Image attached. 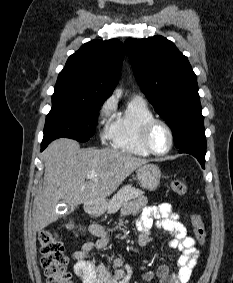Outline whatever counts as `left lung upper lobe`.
Listing matches in <instances>:
<instances>
[{"instance_id":"obj_1","label":"left lung upper lobe","mask_w":233,"mask_h":283,"mask_svg":"<svg viewBox=\"0 0 233 283\" xmlns=\"http://www.w3.org/2000/svg\"><path fill=\"white\" fill-rule=\"evenodd\" d=\"M124 45L142 92L170 126L175 146L206 145L197 77L187 57L162 36L129 38Z\"/></svg>"}]
</instances>
